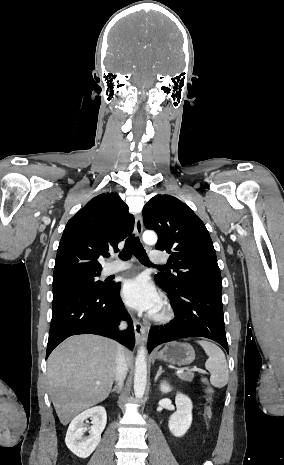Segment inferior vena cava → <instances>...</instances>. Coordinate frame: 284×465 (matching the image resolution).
<instances>
[{
	"mask_svg": "<svg viewBox=\"0 0 284 465\" xmlns=\"http://www.w3.org/2000/svg\"><path fill=\"white\" fill-rule=\"evenodd\" d=\"M120 329H126V323H121ZM116 381L120 387L123 385V381L127 375L128 367L126 363V359L124 357V351L123 347L121 345H118V353L116 355Z\"/></svg>",
	"mask_w": 284,
	"mask_h": 465,
	"instance_id": "inferior-vena-cava-1",
	"label": "inferior vena cava"
}]
</instances>
